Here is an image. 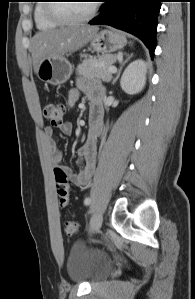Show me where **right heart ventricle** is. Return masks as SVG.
Returning <instances> with one entry per match:
<instances>
[{
	"label": "right heart ventricle",
	"mask_w": 195,
	"mask_h": 299,
	"mask_svg": "<svg viewBox=\"0 0 195 299\" xmlns=\"http://www.w3.org/2000/svg\"><path fill=\"white\" fill-rule=\"evenodd\" d=\"M46 2L48 1L38 0L33 10V19L35 25L40 30L53 29L60 25L59 23L54 22L48 18L46 14Z\"/></svg>",
	"instance_id": "e07e8e85"
}]
</instances>
